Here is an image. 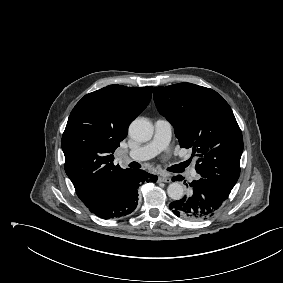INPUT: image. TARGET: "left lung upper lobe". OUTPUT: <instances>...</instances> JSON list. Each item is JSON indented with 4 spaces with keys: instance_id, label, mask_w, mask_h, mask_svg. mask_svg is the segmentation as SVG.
<instances>
[{
    "instance_id": "left-lung-upper-lobe-1",
    "label": "left lung upper lobe",
    "mask_w": 283,
    "mask_h": 283,
    "mask_svg": "<svg viewBox=\"0 0 283 283\" xmlns=\"http://www.w3.org/2000/svg\"><path fill=\"white\" fill-rule=\"evenodd\" d=\"M153 96L180 147L198 157L201 178L232 189L240 175L243 137L229 104L216 91L191 83L155 87Z\"/></svg>"
}]
</instances>
